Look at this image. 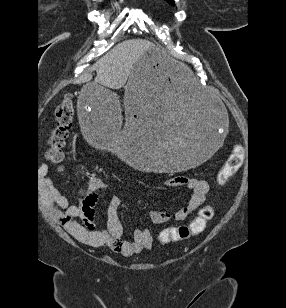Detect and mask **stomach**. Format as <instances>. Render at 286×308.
<instances>
[{
    "instance_id": "1",
    "label": "stomach",
    "mask_w": 286,
    "mask_h": 308,
    "mask_svg": "<svg viewBox=\"0 0 286 308\" xmlns=\"http://www.w3.org/2000/svg\"><path fill=\"white\" fill-rule=\"evenodd\" d=\"M186 65L175 51H146L131 71L124 103L109 85L79 89L76 123L87 129L84 137L93 142V149H111L109 154L116 156L117 133L125 149L119 159L142 168V173L175 177L184 168L206 164L219 144H227V112L221 96L196 81ZM128 131L132 137H125Z\"/></svg>"
}]
</instances>
